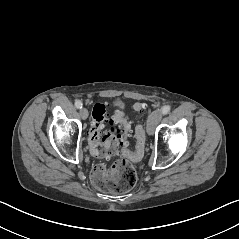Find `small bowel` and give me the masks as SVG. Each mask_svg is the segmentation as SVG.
<instances>
[{"instance_id":"obj_1","label":"small bowel","mask_w":239,"mask_h":239,"mask_svg":"<svg viewBox=\"0 0 239 239\" xmlns=\"http://www.w3.org/2000/svg\"><path fill=\"white\" fill-rule=\"evenodd\" d=\"M119 113H123L122 111H117V113L116 114H119Z\"/></svg>"}]
</instances>
